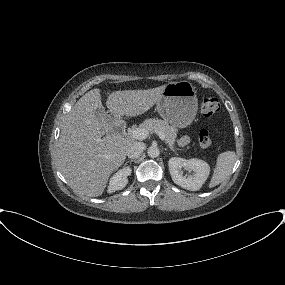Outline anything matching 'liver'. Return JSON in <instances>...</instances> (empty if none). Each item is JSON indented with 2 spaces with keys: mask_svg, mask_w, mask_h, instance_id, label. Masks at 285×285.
<instances>
[{
  "mask_svg": "<svg viewBox=\"0 0 285 285\" xmlns=\"http://www.w3.org/2000/svg\"><path fill=\"white\" fill-rule=\"evenodd\" d=\"M165 87L114 91L106 106L116 117H135L152 108ZM98 107H102L100 89L88 91L76 102L61 128L57 150L59 168L68 184L88 197L104 192L110 175L124 163L129 147L135 143L121 135L104 136L95 116Z\"/></svg>",
  "mask_w": 285,
  "mask_h": 285,
  "instance_id": "liver-1",
  "label": "liver"
}]
</instances>
